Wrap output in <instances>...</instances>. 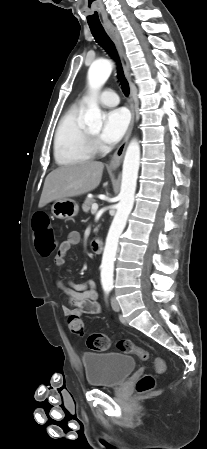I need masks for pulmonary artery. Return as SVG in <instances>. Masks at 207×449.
<instances>
[{
  "instance_id": "1",
  "label": "pulmonary artery",
  "mask_w": 207,
  "mask_h": 449,
  "mask_svg": "<svg viewBox=\"0 0 207 449\" xmlns=\"http://www.w3.org/2000/svg\"><path fill=\"white\" fill-rule=\"evenodd\" d=\"M87 98H83L82 102H86ZM99 102L104 105V106H108V107H113L119 104V97L116 94V92H114L111 89H107L105 91H103L99 97H98Z\"/></svg>"
}]
</instances>
